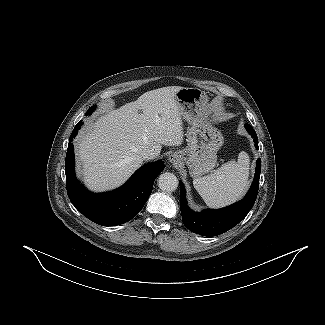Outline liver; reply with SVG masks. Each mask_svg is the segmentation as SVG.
<instances>
[{
  "label": "liver",
  "mask_w": 325,
  "mask_h": 325,
  "mask_svg": "<svg viewBox=\"0 0 325 325\" xmlns=\"http://www.w3.org/2000/svg\"><path fill=\"white\" fill-rule=\"evenodd\" d=\"M169 86L142 94L136 101L109 109L80 136V173L93 191L111 190L125 183L143 163L141 152L183 142V122L176 93Z\"/></svg>",
  "instance_id": "6515ba94"
}]
</instances>
